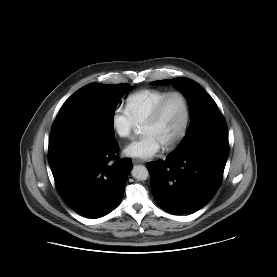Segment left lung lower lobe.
Here are the masks:
<instances>
[{"label":"left lung lower lobe","mask_w":277,"mask_h":277,"mask_svg":"<svg viewBox=\"0 0 277 277\" xmlns=\"http://www.w3.org/2000/svg\"><path fill=\"white\" fill-rule=\"evenodd\" d=\"M229 154L226 124L198 133L166 160L149 162L157 204L172 214L193 213L216 194Z\"/></svg>","instance_id":"0a47b994"}]
</instances>
